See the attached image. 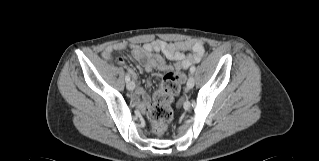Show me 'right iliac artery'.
<instances>
[{"instance_id":"82829eb1","label":"right iliac artery","mask_w":319,"mask_h":161,"mask_svg":"<svg viewBox=\"0 0 319 161\" xmlns=\"http://www.w3.org/2000/svg\"><path fill=\"white\" fill-rule=\"evenodd\" d=\"M125 80H126V82L130 81V76L128 74L125 76Z\"/></svg>"}]
</instances>
